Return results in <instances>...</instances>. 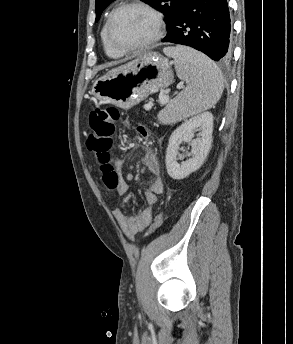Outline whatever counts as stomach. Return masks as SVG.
Segmentation results:
<instances>
[{"label": "stomach", "instance_id": "stomach-1", "mask_svg": "<svg viewBox=\"0 0 293 344\" xmlns=\"http://www.w3.org/2000/svg\"><path fill=\"white\" fill-rule=\"evenodd\" d=\"M173 81L174 74L167 58L156 52H148L131 67L97 79L92 94L101 103L130 109Z\"/></svg>", "mask_w": 293, "mask_h": 344}]
</instances>
